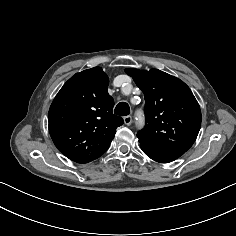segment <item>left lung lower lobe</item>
<instances>
[{
	"instance_id": "left-lung-lower-lobe-1",
	"label": "left lung lower lobe",
	"mask_w": 236,
	"mask_h": 236,
	"mask_svg": "<svg viewBox=\"0 0 236 236\" xmlns=\"http://www.w3.org/2000/svg\"><path fill=\"white\" fill-rule=\"evenodd\" d=\"M141 149L148 157L161 163H168L174 161L175 159H177L178 157H180L185 153V152H174V151H161V150L146 148L143 146H141Z\"/></svg>"
}]
</instances>
